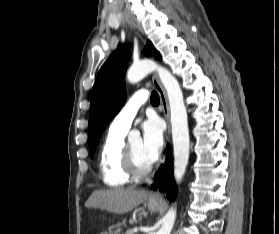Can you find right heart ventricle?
<instances>
[{"label": "right heart ventricle", "mask_w": 279, "mask_h": 234, "mask_svg": "<svg viewBox=\"0 0 279 234\" xmlns=\"http://www.w3.org/2000/svg\"><path fill=\"white\" fill-rule=\"evenodd\" d=\"M123 132L109 130L99 152V168L102 180L110 187H121L131 181L123 166Z\"/></svg>", "instance_id": "1"}]
</instances>
